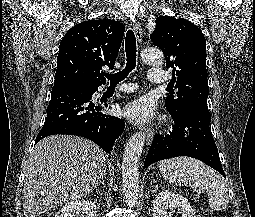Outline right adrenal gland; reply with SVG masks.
<instances>
[{
	"label": "right adrenal gland",
	"instance_id": "2a0ac1e0",
	"mask_svg": "<svg viewBox=\"0 0 255 217\" xmlns=\"http://www.w3.org/2000/svg\"><path fill=\"white\" fill-rule=\"evenodd\" d=\"M99 184H101V185L103 186V188H105L104 177H102V178L100 179V181L96 184L95 187H97Z\"/></svg>",
	"mask_w": 255,
	"mask_h": 217
}]
</instances>
